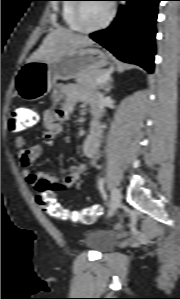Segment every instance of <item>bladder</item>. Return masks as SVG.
<instances>
[{"mask_svg": "<svg viewBox=\"0 0 180 299\" xmlns=\"http://www.w3.org/2000/svg\"><path fill=\"white\" fill-rule=\"evenodd\" d=\"M81 242L94 251L107 252L115 246L117 239L111 231L91 225L83 230Z\"/></svg>", "mask_w": 180, "mask_h": 299, "instance_id": "1", "label": "bladder"}]
</instances>
